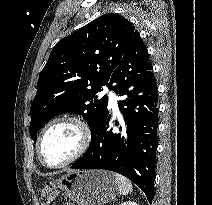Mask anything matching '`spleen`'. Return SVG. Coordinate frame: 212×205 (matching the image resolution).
I'll use <instances>...</instances> for the list:
<instances>
[{
	"label": "spleen",
	"mask_w": 212,
	"mask_h": 205,
	"mask_svg": "<svg viewBox=\"0 0 212 205\" xmlns=\"http://www.w3.org/2000/svg\"><path fill=\"white\" fill-rule=\"evenodd\" d=\"M114 177H115L116 182L118 184L120 194L127 195V194H129L133 191V186L127 178H125L124 176H122L118 173H115Z\"/></svg>",
	"instance_id": "1"
}]
</instances>
